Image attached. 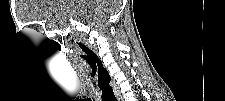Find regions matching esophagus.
<instances>
[{
  "mask_svg": "<svg viewBox=\"0 0 225 101\" xmlns=\"http://www.w3.org/2000/svg\"><path fill=\"white\" fill-rule=\"evenodd\" d=\"M117 99H118L119 101H122V98H121V97H118Z\"/></svg>",
  "mask_w": 225,
  "mask_h": 101,
  "instance_id": "1",
  "label": "esophagus"
}]
</instances>
